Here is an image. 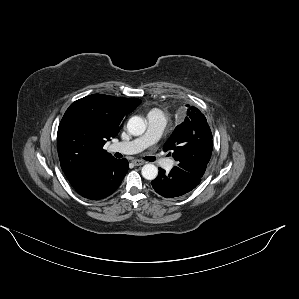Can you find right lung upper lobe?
<instances>
[{
	"label": "right lung upper lobe",
	"mask_w": 299,
	"mask_h": 299,
	"mask_svg": "<svg viewBox=\"0 0 299 299\" xmlns=\"http://www.w3.org/2000/svg\"><path fill=\"white\" fill-rule=\"evenodd\" d=\"M139 103L137 98L93 94L70 105L58 127L57 149L61 168L74 188L114 159L103 146L118 134L123 118Z\"/></svg>",
	"instance_id": "cb5924a9"
}]
</instances>
